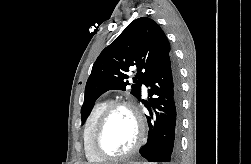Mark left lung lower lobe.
Instances as JSON below:
<instances>
[{
	"label": "left lung lower lobe",
	"instance_id": "left-lung-lower-lobe-1",
	"mask_svg": "<svg viewBox=\"0 0 251 164\" xmlns=\"http://www.w3.org/2000/svg\"><path fill=\"white\" fill-rule=\"evenodd\" d=\"M150 115L147 143L140 154L149 162L174 164L179 154L181 84L173 56L166 58L145 80Z\"/></svg>",
	"mask_w": 251,
	"mask_h": 164
}]
</instances>
